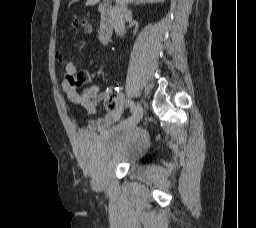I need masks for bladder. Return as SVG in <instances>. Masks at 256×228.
I'll return each mask as SVG.
<instances>
[{
    "mask_svg": "<svg viewBox=\"0 0 256 228\" xmlns=\"http://www.w3.org/2000/svg\"><path fill=\"white\" fill-rule=\"evenodd\" d=\"M147 140L141 131L117 126L99 136L80 134L77 149L93 177L101 178L108 169L134 161Z\"/></svg>",
    "mask_w": 256,
    "mask_h": 228,
    "instance_id": "obj_1",
    "label": "bladder"
}]
</instances>
